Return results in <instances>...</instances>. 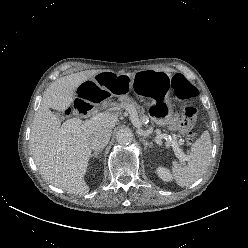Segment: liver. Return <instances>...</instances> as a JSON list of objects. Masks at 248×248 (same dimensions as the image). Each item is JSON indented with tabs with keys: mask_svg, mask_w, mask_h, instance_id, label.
Masks as SVG:
<instances>
[{
	"mask_svg": "<svg viewBox=\"0 0 248 248\" xmlns=\"http://www.w3.org/2000/svg\"><path fill=\"white\" fill-rule=\"evenodd\" d=\"M102 70H86L61 77L45 91L35 113L30 137V151L41 175L50 184L72 194L85 195L89 187L84 181L91 156L90 137L94 132L115 127L117 114L84 124L74 133L61 131V120L50 108L65 111L75 98L77 88Z\"/></svg>",
	"mask_w": 248,
	"mask_h": 248,
	"instance_id": "obj_1",
	"label": "liver"
}]
</instances>
